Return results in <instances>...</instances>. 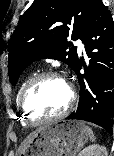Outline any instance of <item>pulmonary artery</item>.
Returning <instances> with one entry per match:
<instances>
[{
	"label": "pulmonary artery",
	"instance_id": "pulmonary-artery-1",
	"mask_svg": "<svg viewBox=\"0 0 114 156\" xmlns=\"http://www.w3.org/2000/svg\"><path fill=\"white\" fill-rule=\"evenodd\" d=\"M76 44H77V46H78L79 52L84 51V45H83V43L81 42V40H77Z\"/></svg>",
	"mask_w": 114,
	"mask_h": 156
}]
</instances>
